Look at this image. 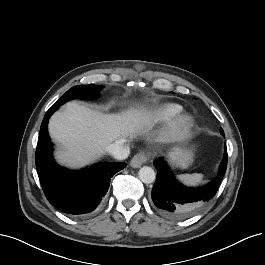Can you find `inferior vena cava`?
<instances>
[{
  "instance_id": "inferior-vena-cava-1",
  "label": "inferior vena cava",
  "mask_w": 265,
  "mask_h": 265,
  "mask_svg": "<svg viewBox=\"0 0 265 265\" xmlns=\"http://www.w3.org/2000/svg\"><path fill=\"white\" fill-rule=\"evenodd\" d=\"M125 139L116 140L105 148V151L118 160H124L129 156L130 147L125 144Z\"/></svg>"
}]
</instances>
